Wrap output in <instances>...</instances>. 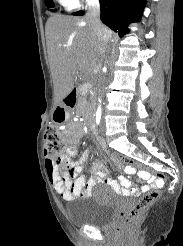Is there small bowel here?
Instances as JSON below:
<instances>
[{
    "label": "small bowel",
    "mask_w": 183,
    "mask_h": 246,
    "mask_svg": "<svg viewBox=\"0 0 183 246\" xmlns=\"http://www.w3.org/2000/svg\"><path fill=\"white\" fill-rule=\"evenodd\" d=\"M68 139L71 144L65 149V162L58 164L49 158L45 160V168L48 178L54 190L62 196L66 201H73L78 198L90 196L92 189L99 183H108L116 192L123 195L135 194L132 184L128 178L120 176L119 180L110 179L106 170L99 164L93 167L94 176L87 179L82 174L84 165L89 157L90 151H85L77 161H70L69 158L77 152L76 144L78 143L81 133L76 131H67ZM100 145V144H99ZM126 173L133 172L129 166L125 167ZM140 176L145 179V183H152L153 187H157L159 180L150 178L148 172H140ZM151 188L145 185L141 188L142 192H147Z\"/></svg>",
    "instance_id": "obj_1"
}]
</instances>
